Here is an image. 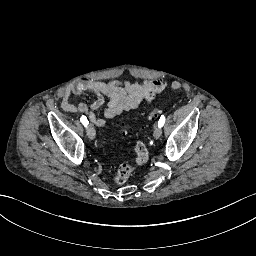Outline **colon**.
<instances>
[{
  "label": "colon",
  "instance_id": "5ec220e1",
  "mask_svg": "<svg viewBox=\"0 0 256 256\" xmlns=\"http://www.w3.org/2000/svg\"><path fill=\"white\" fill-rule=\"evenodd\" d=\"M173 92H179L182 90V86L178 82H174L171 87ZM158 109H155L151 114L149 115V119L155 117L158 114ZM135 153H136V162L138 164H144L148 161L149 159V153L146 149V146L143 142H137L135 145ZM133 167L130 165L122 164L117 172L115 173L113 177V182L116 185H121L124 184L129 175L132 173Z\"/></svg>",
  "mask_w": 256,
  "mask_h": 256
}]
</instances>
